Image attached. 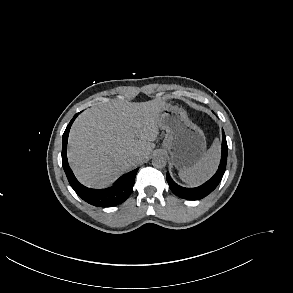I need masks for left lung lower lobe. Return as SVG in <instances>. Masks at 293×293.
Listing matches in <instances>:
<instances>
[{"mask_svg": "<svg viewBox=\"0 0 293 293\" xmlns=\"http://www.w3.org/2000/svg\"><path fill=\"white\" fill-rule=\"evenodd\" d=\"M228 146L224 130H222V155L219 168L216 174L203 185L196 188H184L177 185L170 177L169 173L166 175L167 182L172 192L178 197L187 200H199L211 193L220 183L222 176L226 169Z\"/></svg>", "mask_w": 293, "mask_h": 293, "instance_id": "left-lung-lower-lobe-1", "label": "left lung lower lobe"}]
</instances>
